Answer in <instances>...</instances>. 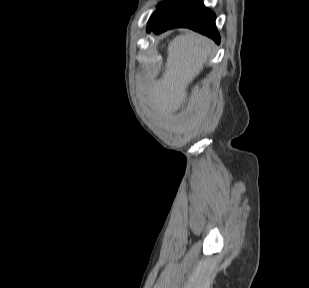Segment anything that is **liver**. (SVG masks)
I'll use <instances>...</instances> for the list:
<instances>
[{"mask_svg":"<svg viewBox=\"0 0 309 288\" xmlns=\"http://www.w3.org/2000/svg\"><path fill=\"white\" fill-rule=\"evenodd\" d=\"M211 47L210 39L193 31H187L169 43L166 70L147 96L154 111L169 114L180 108L185 102L188 85L201 72Z\"/></svg>","mask_w":309,"mask_h":288,"instance_id":"1","label":"liver"}]
</instances>
